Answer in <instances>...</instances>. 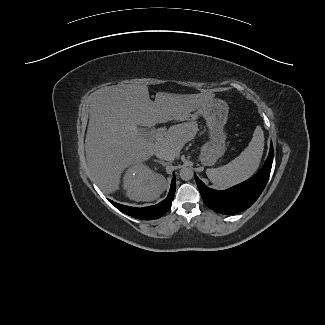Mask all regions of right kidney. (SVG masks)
<instances>
[{
  "label": "right kidney",
  "mask_w": 325,
  "mask_h": 325,
  "mask_svg": "<svg viewBox=\"0 0 325 325\" xmlns=\"http://www.w3.org/2000/svg\"><path fill=\"white\" fill-rule=\"evenodd\" d=\"M124 189L128 197L135 201H152L165 190L166 180L148 167L133 166L124 177Z\"/></svg>",
  "instance_id": "1"
}]
</instances>
